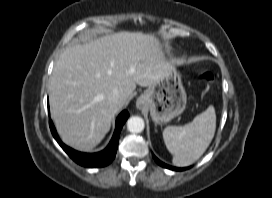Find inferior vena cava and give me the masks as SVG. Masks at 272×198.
Instances as JSON below:
<instances>
[{"instance_id":"1","label":"inferior vena cava","mask_w":272,"mask_h":198,"mask_svg":"<svg viewBox=\"0 0 272 198\" xmlns=\"http://www.w3.org/2000/svg\"><path fill=\"white\" fill-rule=\"evenodd\" d=\"M109 99L112 101V102H118L119 99H120V94H119V91L117 89L113 90L110 95H109Z\"/></svg>"}]
</instances>
